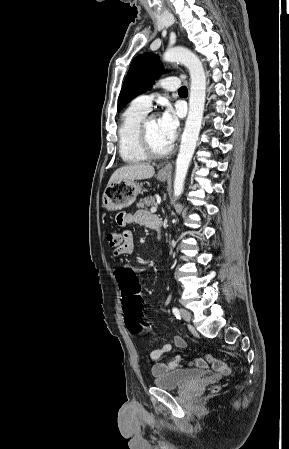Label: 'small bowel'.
I'll list each match as a JSON object with an SVG mask.
<instances>
[{"label": "small bowel", "instance_id": "c3829d8e", "mask_svg": "<svg viewBox=\"0 0 289 449\" xmlns=\"http://www.w3.org/2000/svg\"><path fill=\"white\" fill-rule=\"evenodd\" d=\"M117 222L120 226H126L129 224H139L148 228L154 229L155 225L160 224L159 218L147 211H138L135 213H120L117 217ZM124 241L121 247L114 252V255L131 254L135 251V245L133 235L130 231L126 230L123 234ZM127 268V267H121ZM132 271V269L129 268ZM118 281V280H117ZM172 346L177 347L175 350L178 352L180 349H185L187 346L186 341L180 336L173 337L170 343H165L162 348L151 350L149 353V359L151 361H158L163 353L167 352L169 355L172 353L170 350ZM180 348V349H179ZM209 353L205 358H197L193 361V365L199 368H215L220 373L227 375L231 372V368L225 363L219 361L216 357H211ZM182 357L177 354L172 360L167 363L158 362L152 366V374L155 376L162 375L169 371L175 370L181 366Z\"/></svg>", "mask_w": 289, "mask_h": 449}]
</instances>
